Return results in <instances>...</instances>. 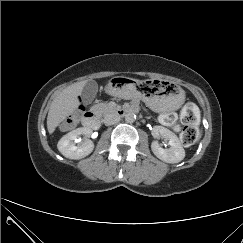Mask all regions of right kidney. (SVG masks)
Listing matches in <instances>:
<instances>
[{"label":"right kidney","instance_id":"ca27d5eb","mask_svg":"<svg viewBox=\"0 0 243 243\" xmlns=\"http://www.w3.org/2000/svg\"><path fill=\"white\" fill-rule=\"evenodd\" d=\"M92 130L86 127L77 128L64 135L58 142L57 148L63 156L69 159H81L88 156L94 149V143L88 139ZM84 135V142L80 143L79 136Z\"/></svg>","mask_w":243,"mask_h":243}]
</instances>
